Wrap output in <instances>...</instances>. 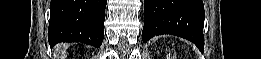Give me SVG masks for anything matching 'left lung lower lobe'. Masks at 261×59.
I'll return each instance as SVG.
<instances>
[{
  "instance_id": "obj_1",
  "label": "left lung lower lobe",
  "mask_w": 261,
  "mask_h": 59,
  "mask_svg": "<svg viewBox=\"0 0 261 59\" xmlns=\"http://www.w3.org/2000/svg\"><path fill=\"white\" fill-rule=\"evenodd\" d=\"M142 40L162 34L176 35L204 50L202 0H144Z\"/></svg>"
}]
</instances>
